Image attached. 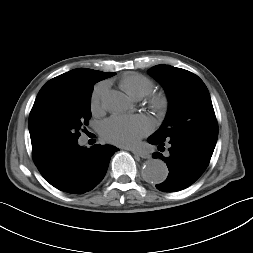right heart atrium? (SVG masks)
<instances>
[{
	"label": "right heart atrium",
	"mask_w": 253,
	"mask_h": 253,
	"mask_svg": "<svg viewBox=\"0 0 253 253\" xmlns=\"http://www.w3.org/2000/svg\"><path fill=\"white\" fill-rule=\"evenodd\" d=\"M106 88H107V86L105 83H100V84L96 85V87L94 88L92 96H91L92 110L96 111L100 108L102 98L105 94Z\"/></svg>",
	"instance_id": "1"
}]
</instances>
